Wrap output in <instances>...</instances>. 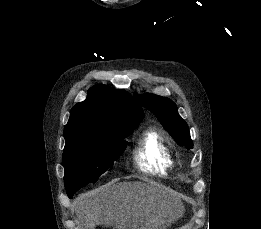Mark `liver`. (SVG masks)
I'll return each mask as SVG.
<instances>
[{"mask_svg":"<svg viewBox=\"0 0 261 229\" xmlns=\"http://www.w3.org/2000/svg\"><path fill=\"white\" fill-rule=\"evenodd\" d=\"M119 187L122 191L121 195H124L125 199L119 213H116L115 207H119V203H122L120 197L110 199V197H103V195H80L74 201L80 219L89 221V225H92V227L98 221H105L110 225L112 221H116L119 227L123 225V227H135V229L138 225H143L145 221H148L146 227L150 223H157L156 227H159L158 221H155L157 217H154V213H158V211H156L153 203L148 205L151 201L146 193L148 187H144L140 183H133V185L132 183H123V185H118L117 189ZM152 201H157V197H153ZM160 217H162V209ZM82 227H86L85 223Z\"/></svg>","mask_w":261,"mask_h":229,"instance_id":"liver-1","label":"liver"}]
</instances>
